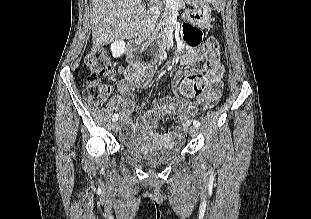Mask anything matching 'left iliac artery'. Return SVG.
Wrapping results in <instances>:
<instances>
[{
  "mask_svg": "<svg viewBox=\"0 0 311 219\" xmlns=\"http://www.w3.org/2000/svg\"><path fill=\"white\" fill-rule=\"evenodd\" d=\"M193 125H194L195 127L199 128V127H200V122H199L198 120H194V121H193Z\"/></svg>",
  "mask_w": 311,
  "mask_h": 219,
  "instance_id": "obj_1",
  "label": "left iliac artery"
}]
</instances>
